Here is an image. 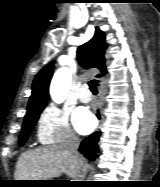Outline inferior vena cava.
Here are the masks:
<instances>
[{
  "instance_id": "1",
  "label": "inferior vena cava",
  "mask_w": 160,
  "mask_h": 187,
  "mask_svg": "<svg viewBox=\"0 0 160 187\" xmlns=\"http://www.w3.org/2000/svg\"><path fill=\"white\" fill-rule=\"evenodd\" d=\"M79 146V140L74 134H70L67 141L64 144L67 152L73 156L77 163H80V156L77 152V148ZM80 175V174H79Z\"/></svg>"
}]
</instances>
